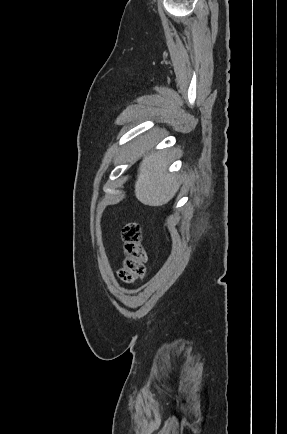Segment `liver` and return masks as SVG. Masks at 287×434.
Masks as SVG:
<instances>
[{"label": "liver", "instance_id": "1", "mask_svg": "<svg viewBox=\"0 0 287 434\" xmlns=\"http://www.w3.org/2000/svg\"><path fill=\"white\" fill-rule=\"evenodd\" d=\"M167 161L163 153H146L138 169L135 182L137 199L148 206L167 204L177 193L180 182L166 173Z\"/></svg>", "mask_w": 287, "mask_h": 434}]
</instances>
